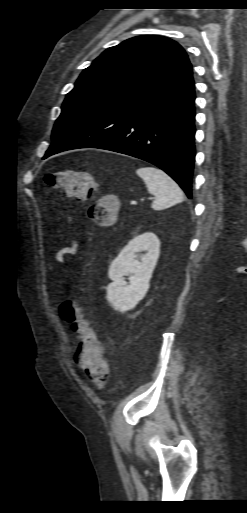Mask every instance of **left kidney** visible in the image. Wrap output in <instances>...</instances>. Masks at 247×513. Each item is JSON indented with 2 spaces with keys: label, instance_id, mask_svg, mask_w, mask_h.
Listing matches in <instances>:
<instances>
[{
  "label": "left kidney",
  "instance_id": "left-kidney-1",
  "mask_svg": "<svg viewBox=\"0 0 247 513\" xmlns=\"http://www.w3.org/2000/svg\"><path fill=\"white\" fill-rule=\"evenodd\" d=\"M142 251L146 253L139 261L137 253ZM159 254L160 240L152 232L136 236L121 250L108 272L112 283L107 288V301L114 310L124 313L145 297Z\"/></svg>",
  "mask_w": 247,
  "mask_h": 513
}]
</instances>
